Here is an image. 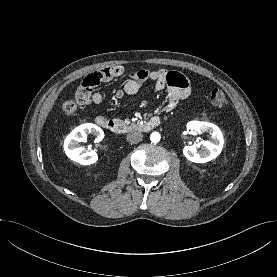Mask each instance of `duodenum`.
Here are the masks:
<instances>
[{"label": "duodenum", "mask_w": 277, "mask_h": 277, "mask_svg": "<svg viewBox=\"0 0 277 277\" xmlns=\"http://www.w3.org/2000/svg\"><path fill=\"white\" fill-rule=\"evenodd\" d=\"M96 123L100 127L104 128L112 133L117 134L120 132V126L114 120L102 118V119H99ZM159 124H160V119L158 117H152L144 123L143 129L145 131H150V130L154 129L155 127H157Z\"/></svg>", "instance_id": "obj_1"}]
</instances>
